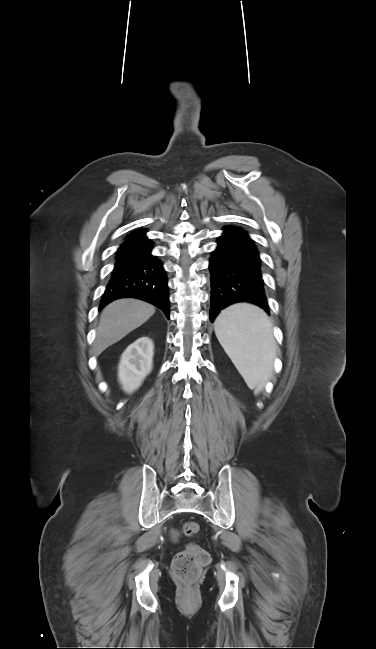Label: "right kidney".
<instances>
[{"mask_svg": "<svg viewBox=\"0 0 376 649\" xmlns=\"http://www.w3.org/2000/svg\"><path fill=\"white\" fill-rule=\"evenodd\" d=\"M153 342L141 337L123 352L118 369L123 390L132 393L137 390L152 370Z\"/></svg>", "mask_w": 376, "mask_h": 649, "instance_id": "obj_1", "label": "right kidney"}]
</instances>
